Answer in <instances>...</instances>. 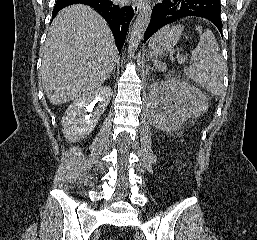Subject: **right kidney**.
Listing matches in <instances>:
<instances>
[{
    "label": "right kidney",
    "instance_id": "right-kidney-1",
    "mask_svg": "<svg viewBox=\"0 0 257 240\" xmlns=\"http://www.w3.org/2000/svg\"><path fill=\"white\" fill-rule=\"evenodd\" d=\"M113 91L110 86L100 87L76 99L61 120L63 134L69 142L86 138L106 110ZM97 103V107H94ZM87 112L91 114L87 115Z\"/></svg>",
    "mask_w": 257,
    "mask_h": 240
}]
</instances>
